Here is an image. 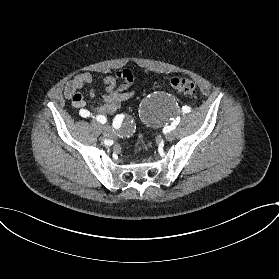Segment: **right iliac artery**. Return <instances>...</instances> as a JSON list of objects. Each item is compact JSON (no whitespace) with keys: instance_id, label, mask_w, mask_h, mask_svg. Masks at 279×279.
Listing matches in <instances>:
<instances>
[{"instance_id":"82829eb1","label":"right iliac artery","mask_w":279,"mask_h":279,"mask_svg":"<svg viewBox=\"0 0 279 279\" xmlns=\"http://www.w3.org/2000/svg\"><path fill=\"white\" fill-rule=\"evenodd\" d=\"M80 116L91 119V118H93L94 115H93V113L88 112L87 110L84 109L80 112ZM94 118L97 119V121H99L102 124L106 123V121H107V119L102 115H99L98 117L95 116ZM125 124H126V121L121 116L116 117L113 121V126L118 129L123 128L125 126Z\"/></svg>"}]
</instances>
